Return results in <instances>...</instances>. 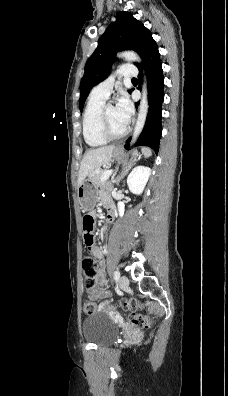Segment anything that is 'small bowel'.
<instances>
[{"label": "small bowel", "instance_id": "1", "mask_svg": "<svg viewBox=\"0 0 228 396\" xmlns=\"http://www.w3.org/2000/svg\"><path fill=\"white\" fill-rule=\"evenodd\" d=\"M101 202L103 205L106 204L109 206L110 204L109 199L105 195H102ZM91 252L95 258L99 260L102 259L103 256L102 251L95 244L91 246ZM104 282H105L104 273L101 271L96 279V285H94L92 288H87L88 293L95 298H104L107 295V293L104 292L100 287V285L103 284ZM107 307H108V302H104L100 305V309H106Z\"/></svg>", "mask_w": 228, "mask_h": 396}]
</instances>
